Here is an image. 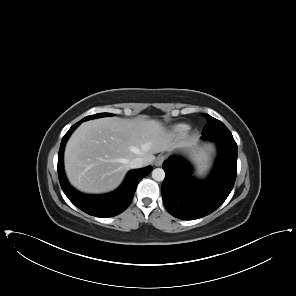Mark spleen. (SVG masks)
I'll return each instance as SVG.
<instances>
[{
    "label": "spleen",
    "instance_id": "1",
    "mask_svg": "<svg viewBox=\"0 0 296 296\" xmlns=\"http://www.w3.org/2000/svg\"><path fill=\"white\" fill-rule=\"evenodd\" d=\"M206 168H207V166L204 165V164H203V165H199V166H198V171H197L198 174H199V175L203 174V173L205 172Z\"/></svg>",
    "mask_w": 296,
    "mask_h": 296
}]
</instances>
